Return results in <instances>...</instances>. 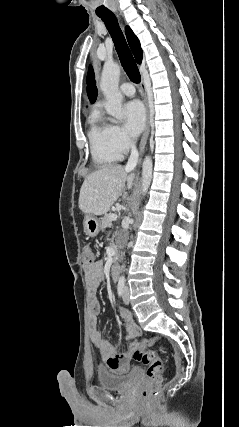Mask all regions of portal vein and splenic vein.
I'll list each match as a JSON object with an SVG mask.
<instances>
[{
    "instance_id": "portal-vein-and-splenic-vein-1",
    "label": "portal vein and splenic vein",
    "mask_w": 239,
    "mask_h": 427,
    "mask_svg": "<svg viewBox=\"0 0 239 427\" xmlns=\"http://www.w3.org/2000/svg\"><path fill=\"white\" fill-rule=\"evenodd\" d=\"M117 218H118L117 214H111V215H110V220H111V221H116V220H117Z\"/></svg>"
}]
</instances>
